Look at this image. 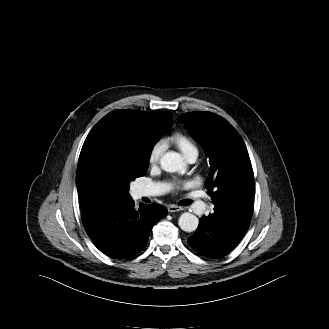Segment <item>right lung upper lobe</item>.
<instances>
[{
    "instance_id": "right-lung-upper-lobe-1",
    "label": "right lung upper lobe",
    "mask_w": 329,
    "mask_h": 329,
    "mask_svg": "<svg viewBox=\"0 0 329 329\" xmlns=\"http://www.w3.org/2000/svg\"><path fill=\"white\" fill-rule=\"evenodd\" d=\"M171 117L172 113L169 111H113L104 116L92 128L83 144L78 163H82L92 153L99 151V147L110 142L117 132L128 135H145L158 124L170 122ZM82 208L84 209L86 206L82 205Z\"/></svg>"
}]
</instances>
